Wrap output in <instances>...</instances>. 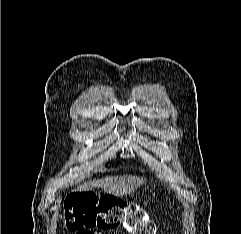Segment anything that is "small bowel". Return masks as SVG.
Here are the masks:
<instances>
[{
  "mask_svg": "<svg viewBox=\"0 0 241 234\" xmlns=\"http://www.w3.org/2000/svg\"><path fill=\"white\" fill-rule=\"evenodd\" d=\"M76 234H92V232L89 230H81V231L77 232ZM96 234H98V233H96Z\"/></svg>",
  "mask_w": 241,
  "mask_h": 234,
  "instance_id": "1",
  "label": "small bowel"
}]
</instances>
